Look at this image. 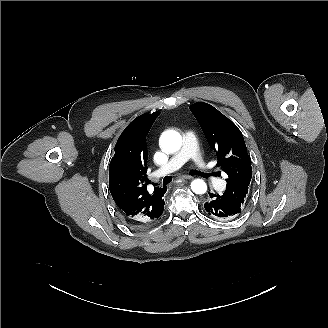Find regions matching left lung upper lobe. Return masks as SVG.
I'll list each match as a JSON object with an SVG mask.
<instances>
[{"label":"left lung upper lobe","mask_w":328,"mask_h":328,"mask_svg":"<svg viewBox=\"0 0 328 328\" xmlns=\"http://www.w3.org/2000/svg\"><path fill=\"white\" fill-rule=\"evenodd\" d=\"M190 110L218 155L217 165L228 175L222 196L241 207L252 178L251 159L241 131L210 104L194 103Z\"/></svg>","instance_id":"left-lung-upper-lobe-1"}]
</instances>
